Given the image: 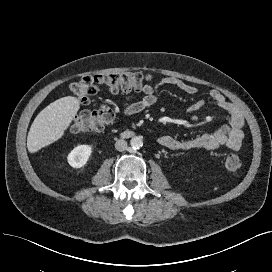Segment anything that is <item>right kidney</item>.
I'll return each instance as SVG.
<instances>
[{
	"mask_svg": "<svg viewBox=\"0 0 272 272\" xmlns=\"http://www.w3.org/2000/svg\"><path fill=\"white\" fill-rule=\"evenodd\" d=\"M91 153L89 145H78L68 154V163L73 168H81L87 163Z\"/></svg>",
	"mask_w": 272,
	"mask_h": 272,
	"instance_id": "ca27d5eb",
	"label": "right kidney"
}]
</instances>
